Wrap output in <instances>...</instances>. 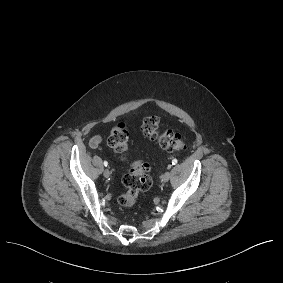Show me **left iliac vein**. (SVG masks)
<instances>
[{"instance_id": "obj_1", "label": "left iliac vein", "mask_w": 283, "mask_h": 283, "mask_svg": "<svg viewBox=\"0 0 283 283\" xmlns=\"http://www.w3.org/2000/svg\"><path fill=\"white\" fill-rule=\"evenodd\" d=\"M170 177H171V173L169 171L165 172L162 176V182L163 183L168 182Z\"/></svg>"}]
</instances>
